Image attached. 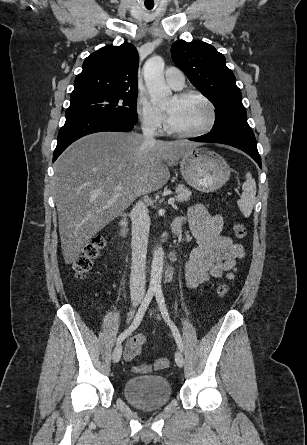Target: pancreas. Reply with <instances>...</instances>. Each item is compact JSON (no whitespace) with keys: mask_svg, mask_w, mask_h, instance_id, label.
<instances>
[{"mask_svg":"<svg viewBox=\"0 0 307 445\" xmlns=\"http://www.w3.org/2000/svg\"><path fill=\"white\" fill-rule=\"evenodd\" d=\"M176 192L180 194V196H178L177 198L178 202H184V200H189L191 190L190 188H187V186H184V184H177Z\"/></svg>","mask_w":307,"mask_h":445,"instance_id":"pancreas-1","label":"pancreas"}]
</instances>
